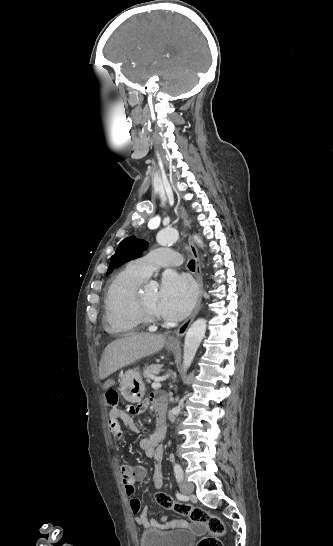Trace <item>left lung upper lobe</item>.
Wrapping results in <instances>:
<instances>
[{
	"label": "left lung upper lobe",
	"instance_id": "5c2ea615",
	"mask_svg": "<svg viewBox=\"0 0 333 546\" xmlns=\"http://www.w3.org/2000/svg\"><path fill=\"white\" fill-rule=\"evenodd\" d=\"M148 247V243L136 237H128L120 242L115 254L111 257V262L107 274L111 273L114 268H118L124 263L139 258L144 250Z\"/></svg>",
	"mask_w": 333,
	"mask_h": 546
}]
</instances>
